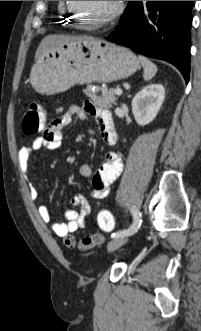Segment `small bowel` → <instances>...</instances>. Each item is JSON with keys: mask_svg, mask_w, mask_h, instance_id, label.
I'll use <instances>...</instances> for the list:
<instances>
[{"mask_svg": "<svg viewBox=\"0 0 201 331\" xmlns=\"http://www.w3.org/2000/svg\"><path fill=\"white\" fill-rule=\"evenodd\" d=\"M89 117L97 121L100 136L104 143L109 146L115 145L117 135L114 128L113 118L107 109L101 108L92 102L86 101L83 107L73 105L67 111L53 119L46 127L43 135L33 140L29 146H23L18 153V162L25 178L30 182L29 190L33 198L38 197V190L31 182V155L40 149L56 150L62 146L64 129L73 119L85 120ZM123 170L121 157L113 152L105 153L104 162L99 169L93 173L89 164L79 167L81 177L88 180L91 187L90 197L77 194L71 199V204L77 209H68L65 212V222H52L53 232L62 238L64 244L69 248L77 245L74 233L85 226V219L91 211V198H104L108 195L109 186L119 177ZM40 217L45 222H51V212L47 205L38 208ZM81 249H84L80 247Z\"/></svg>", "mask_w": 201, "mask_h": 331, "instance_id": "c3829d8e", "label": "small bowel"}]
</instances>
